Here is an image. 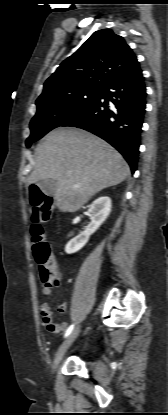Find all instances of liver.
I'll return each instance as SVG.
<instances>
[{
    "mask_svg": "<svg viewBox=\"0 0 168 415\" xmlns=\"http://www.w3.org/2000/svg\"><path fill=\"white\" fill-rule=\"evenodd\" d=\"M129 174L122 155L107 142L82 129L59 127L37 146L35 169L28 182L55 179L56 206L62 212H75Z\"/></svg>",
    "mask_w": 168,
    "mask_h": 415,
    "instance_id": "liver-1",
    "label": "liver"
}]
</instances>
